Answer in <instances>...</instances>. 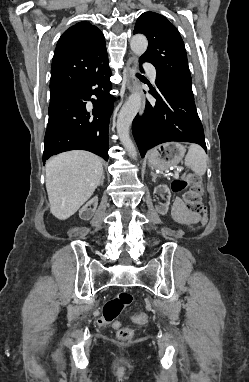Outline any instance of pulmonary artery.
<instances>
[{
	"mask_svg": "<svg viewBox=\"0 0 249 382\" xmlns=\"http://www.w3.org/2000/svg\"><path fill=\"white\" fill-rule=\"evenodd\" d=\"M146 70L149 72L150 78L154 81L156 79V71L153 66L146 64Z\"/></svg>",
	"mask_w": 249,
	"mask_h": 382,
	"instance_id": "obj_1",
	"label": "pulmonary artery"
}]
</instances>
